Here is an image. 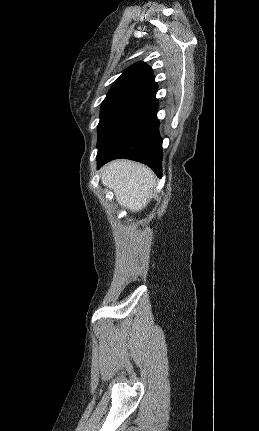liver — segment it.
Segmentation results:
<instances>
[{"label": "liver", "mask_w": 259, "mask_h": 431, "mask_svg": "<svg viewBox=\"0 0 259 431\" xmlns=\"http://www.w3.org/2000/svg\"><path fill=\"white\" fill-rule=\"evenodd\" d=\"M101 182L114 191L121 206L131 212H138L151 199L156 177L145 165L129 160H115L103 167Z\"/></svg>", "instance_id": "obj_1"}]
</instances>
